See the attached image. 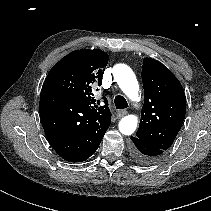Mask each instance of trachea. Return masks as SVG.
I'll use <instances>...</instances> for the list:
<instances>
[{"label": "trachea", "mask_w": 211, "mask_h": 211, "mask_svg": "<svg viewBox=\"0 0 211 211\" xmlns=\"http://www.w3.org/2000/svg\"><path fill=\"white\" fill-rule=\"evenodd\" d=\"M114 104H115V107L119 110H123L128 107V103L126 99L121 95L115 96Z\"/></svg>", "instance_id": "trachea-1"}]
</instances>
